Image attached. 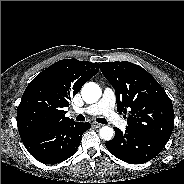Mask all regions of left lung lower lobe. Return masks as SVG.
<instances>
[{"label":"left lung lower lobe","instance_id":"left-lung-lower-lobe-1","mask_svg":"<svg viewBox=\"0 0 184 184\" xmlns=\"http://www.w3.org/2000/svg\"><path fill=\"white\" fill-rule=\"evenodd\" d=\"M115 137L106 142L108 151L118 159L130 164H142L156 157L165 147L140 132L126 127L125 131L114 128Z\"/></svg>","mask_w":184,"mask_h":184}]
</instances>
